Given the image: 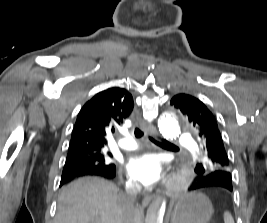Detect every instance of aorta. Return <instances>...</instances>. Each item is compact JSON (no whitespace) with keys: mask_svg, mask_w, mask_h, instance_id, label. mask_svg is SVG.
<instances>
[{"mask_svg":"<svg viewBox=\"0 0 267 223\" xmlns=\"http://www.w3.org/2000/svg\"><path fill=\"white\" fill-rule=\"evenodd\" d=\"M158 127L165 138H177L181 134L179 119L176 115L167 114L158 121ZM166 200L158 197L150 204L145 223H163Z\"/></svg>","mask_w":267,"mask_h":223,"instance_id":"aorta-1","label":"aorta"}]
</instances>
